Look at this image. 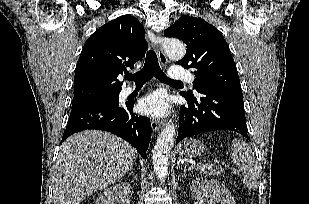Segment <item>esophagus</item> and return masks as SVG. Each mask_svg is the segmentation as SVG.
<instances>
[{"label": "esophagus", "mask_w": 309, "mask_h": 204, "mask_svg": "<svg viewBox=\"0 0 309 204\" xmlns=\"http://www.w3.org/2000/svg\"><path fill=\"white\" fill-rule=\"evenodd\" d=\"M154 50L156 51L158 55V59L162 65H167L168 59L163 51L162 45H161V38L160 37H154L151 39ZM151 127L154 132L159 131L162 128V122L157 119L151 120Z\"/></svg>", "instance_id": "obj_1"}]
</instances>
